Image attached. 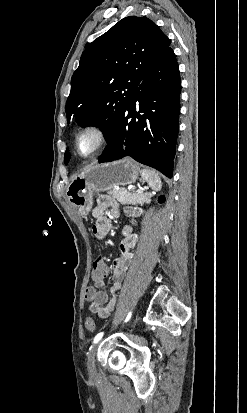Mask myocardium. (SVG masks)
Here are the masks:
<instances>
[{
    "instance_id": "1",
    "label": "myocardium",
    "mask_w": 247,
    "mask_h": 413,
    "mask_svg": "<svg viewBox=\"0 0 247 413\" xmlns=\"http://www.w3.org/2000/svg\"><path fill=\"white\" fill-rule=\"evenodd\" d=\"M88 133L95 134L98 137L97 145L88 153L85 154L81 150V138ZM110 134L108 130L100 125H87L86 127L79 130L75 138V146L78 154L86 159L93 158L96 156L109 142Z\"/></svg>"
}]
</instances>
